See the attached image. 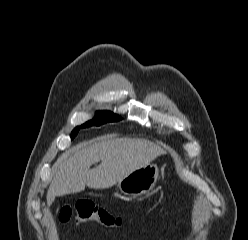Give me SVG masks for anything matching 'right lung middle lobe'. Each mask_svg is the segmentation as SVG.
<instances>
[{"instance_id": "right-lung-middle-lobe-1", "label": "right lung middle lobe", "mask_w": 248, "mask_h": 240, "mask_svg": "<svg viewBox=\"0 0 248 240\" xmlns=\"http://www.w3.org/2000/svg\"><path fill=\"white\" fill-rule=\"evenodd\" d=\"M121 120V117L109 112V111H101V112H97L96 116L94 119H92L91 121L86 122L85 124H83L80 127H76L72 133H71V139H73L79 132L80 128L83 127H89L92 125H96V126H100L101 124L107 123V122H114V121H119Z\"/></svg>"}]
</instances>
